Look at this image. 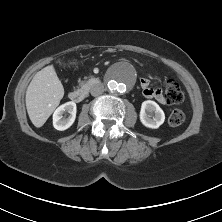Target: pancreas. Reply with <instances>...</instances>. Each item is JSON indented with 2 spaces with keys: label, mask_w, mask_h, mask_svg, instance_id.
Segmentation results:
<instances>
[{
  "label": "pancreas",
  "mask_w": 222,
  "mask_h": 222,
  "mask_svg": "<svg viewBox=\"0 0 222 222\" xmlns=\"http://www.w3.org/2000/svg\"><path fill=\"white\" fill-rule=\"evenodd\" d=\"M94 78L89 79L88 81H79L80 86L88 85L93 81Z\"/></svg>",
  "instance_id": "pancreas-1"
}]
</instances>
